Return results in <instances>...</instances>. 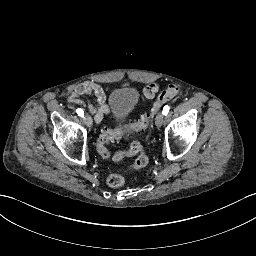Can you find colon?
Segmentation results:
<instances>
[{
    "instance_id": "5ec220e1",
    "label": "colon",
    "mask_w": 256,
    "mask_h": 256,
    "mask_svg": "<svg viewBox=\"0 0 256 256\" xmlns=\"http://www.w3.org/2000/svg\"><path fill=\"white\" fill-rule=\"evenodd\" d=\"M179 92V88L176 85H169L163 90L155 99L148 114L142 115L138 120L130 121L124 127L105 129L99 138L97 150L103 157H110L113 160L119 161L122 158L129 155L137 156L136 167H144L149 162V157L144 151V147L140 142H134L131 144L129 151L123 150L121 153H111L107 144L121 139L129 137L134 133L143 132L152 122L153 118L161 111L163 106L174 99ZM106 182L110 187H121L125 183V176L122 173H112L107 176Z\"/></svg>"
}]
</instances>
